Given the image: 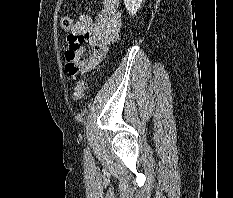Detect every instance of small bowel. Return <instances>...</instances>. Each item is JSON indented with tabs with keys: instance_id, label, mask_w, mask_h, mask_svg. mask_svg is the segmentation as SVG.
Masks as SVG:
<instances>
[{
	"instance_id": "c3829d8e",
	"label": "small bowel",
	"mask_w": 233,
	"mask_h": 198,
	"mask_svg": "<svg viewBox=\"0 0 233 198\" xmlns=\"http://www.w3.org/2000/svg\"><path fill=\"white\" fill-rule=\"evenodd\" d=\"M120 5L121 0H102V9L97 20L82 14L73 23L67 38L69 47L65 57L67 59L69 52L74 54L78 72L69 75L70 81H75L78 73L94 68L106 56L108 45L117 38L121 28Z\"/></svg>"
}]
</instances>
